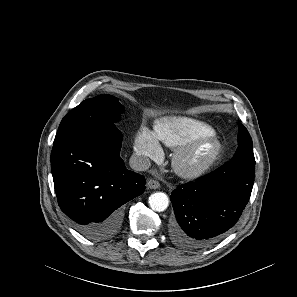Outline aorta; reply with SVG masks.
Returning a JSON list of instances; mask_svg holds the SVG:
<instances>
[{
  "mask_svg": "<svg viewBox=\"0 0 297 297\" xmlns=\"http://www.w3.org/2000/svg\"><path fill=\"white\" fill-rule=\"evenodd\" d=\"M149 205L154 211H164L169 205L168 196L163 192L153 193L149 197Z\"/></svg>",
  "mask_w": 297,
  "mask_h": 297,
  "instance_id": "aorta-1",
  "label": "aorta"
}]
</instances>
